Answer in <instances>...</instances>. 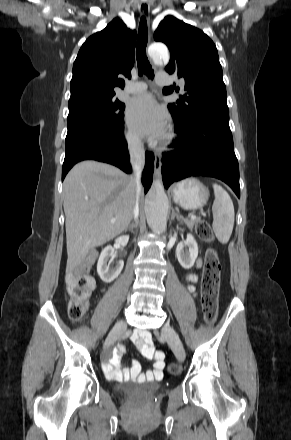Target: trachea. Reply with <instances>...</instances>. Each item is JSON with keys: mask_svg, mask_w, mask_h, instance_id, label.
Masks as SVG:
<instances>
[{"mask_svg": "<svg viewBox=\"0 0 291 440\" xmlns=\"http://www.w3.org/2000/svg\"><path fill=\"white\" fill-rule=\"evenodd\" d=\"M148 41V29L147 22L145 17L143 16L140 20L139 30H138V40H137V49H136V58L138 65V74L142 76L146 74L148 78H154V71L148 61L146 56V46Z\"/></svg>", "mask_w": 291, "mask_h": 440, "instance_id": "1", "label": "trachea"}]
</instances>
